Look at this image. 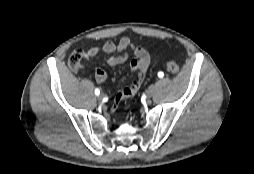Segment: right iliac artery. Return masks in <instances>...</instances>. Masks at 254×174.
Returning a JSON list of instances; mask_svg holds the SVG:
<instances>
[{"label":"right iliac artery","mask_w":254,"mask_h":174,"mask_svg":"<svg viewBox=\"0 0 254 174\" xmlns=\"http://www.w3.org/2000/svg\"><path fill=\"white\" fill-rule=\"evenodd\" d=\"M95 94L98 96L100 94V90L98 88L95 89Z\"/></svg>","instance_id":"1"}]
</instances>
